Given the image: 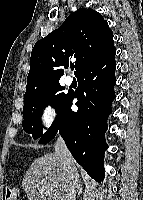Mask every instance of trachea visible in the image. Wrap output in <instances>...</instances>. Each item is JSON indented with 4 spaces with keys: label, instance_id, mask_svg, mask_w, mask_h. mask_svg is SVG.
Masks as SVG:
<instances>
[{
    "label": "trachea",
    "instance_id": "obj_1",
    "mask_svg": "<svg viewBox=\"0 0 143 200\" xmlns=\"http://www.w3.org/2000/svg\"><path fill=\"white\" fill-rule=\"evenodd\" d=\"M71 70H74V66H71Z\"/></svg>",
    "mask_w": 143,
    "mask_h": 200
}]
</instances>
